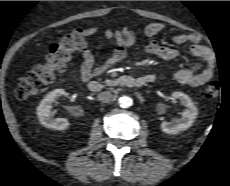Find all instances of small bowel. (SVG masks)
<instances>
[{"mask_svg":"<svg viewBox=\"0 0 230 186\" xmlns=\"http://www.w3.org/2000/svg\"><path fill=\"white\" fill-rule=\"evenodd\" d=\"M166 26L163 23H151L144 29L145 36L149 39L144 50L146 53L155 55L163 60L174 61L180 58L181 52L177 49L159 45L153 40V37L165 30ZM97 31L96 27H90L85 30L87 34H93ZM105 37L114 46L111 55L106 62L99 67H95V58L89 49L82 51L83 61L79 71L74 72V76L81 81H87L101 74L106 68L123 60L128 50L133 47L137 38L133 30L128 27L121 29H106ZM173 42L176 44H187L190 46L187 53L198 59L191 66L176 71L173 79L180 83L197 87L211 80L216 72V56L213 50L199 42V37L193 33H179L173 36ZM146 82H153L157 76L155 74H146L142 76Z\"/></svg>","mask_w":230,"mask_h":186,"instance_id":"small-bowel-1","label":"small bowel"}]
</instances>
